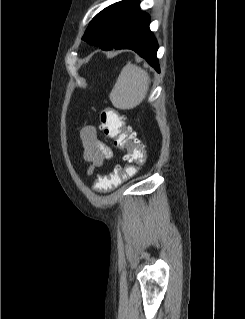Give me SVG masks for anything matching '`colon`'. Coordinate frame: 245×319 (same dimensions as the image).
<instances>
[{
    "mask_svg": "<svg viewBox=\"0 0 245 319\" xmlns=\"http://www.w3.org/2000/svg\"><path fill=\"white\" fill-rule=\"evenodd\" d=\"M99 125L104 135L110 138L113 146L125 151V166H117L110 174L98 176L95 188L108 191L119 186L124 180L137 172L140 165L145 162L146 154L142 144L136 141L128 119L112 107L101 110Z\"/></svg>",
    "mask_w": 245,
    "mask_h": 319,
    "instance_id": "colon-1",
    "label": "colon"
}]
</instances>
